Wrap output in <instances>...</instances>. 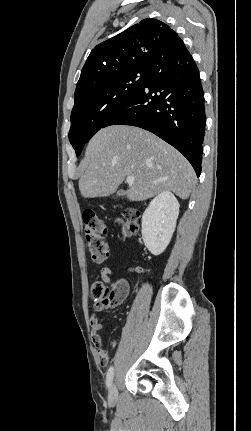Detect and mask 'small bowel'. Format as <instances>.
I'll list each match as a JSON object with an SVG mask.
<instances>
[{
  "mask_svg": "<svg viewBox=\"0 0 251 431\" xmlns=\"http://www.w3.org/2000/svg\"><path fill=\"white\" fill-rule=\"evenodd\" d=\"M101 278L105 283H112V270L108 267H104L101 269ZM103 309V306L101 305H95L96 311H101ZM90 326L92 329V338L93 343L95 347L97 348V357L99 358L97 362L98 369H107L108 362L110 360L109 350L108 348H103L102 344V337L99 334V331L102 328V324L97 316L96 313H93L90 318Z\"/></svg>",
  "mask_w": 251,
  "mask_h": 431,
  "instance_id": "small-bowel-1",
  "label": "small bowel"
}]
</instances>
